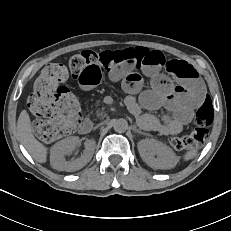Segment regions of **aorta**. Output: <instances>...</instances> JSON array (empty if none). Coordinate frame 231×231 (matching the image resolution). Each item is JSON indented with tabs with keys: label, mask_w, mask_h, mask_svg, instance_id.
I'll return each mask as SVG.
<instances>
[{
	"label": "aorta",
	"mask_w": 231,
	"mask_h": 231,
	"mask_svg": "<svg viewBox=\"0 0 231 231\" xmlns=\"http://www.w3.org/2000/svg\"><path fill=\"white\" fill-rule=\"evenodd\" d=\"M113 128L118 133H123L128 129L127 120L120 118L113 121Z\"/></svg>",
	"instance_id": "1"
}]
</instances>
